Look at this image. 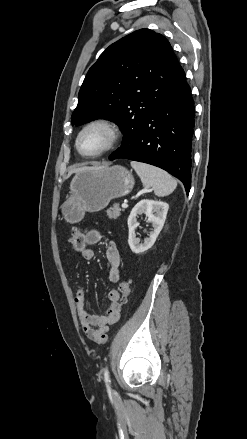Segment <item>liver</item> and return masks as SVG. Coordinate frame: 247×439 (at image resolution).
<instances>
[{"mask_svg": "<svg viewBox=\"0 0 247 439\" xmlns=\"http://www.w3.org/2000/svg\"><path fill=\"white\" fill-rule=\"evenodd\" d=\"M95 168H99V166H93V167H80V168H75V169H71L68 173V176H71L73 173H81V172H85V171H89Z\"/></svg>", "mask_w": 247, "mask_h": 439, "instance_id": "liver-1", "label": "liver"}]
</instances>
